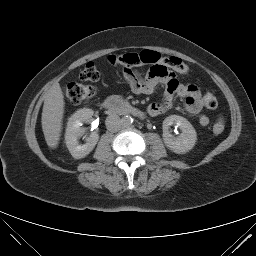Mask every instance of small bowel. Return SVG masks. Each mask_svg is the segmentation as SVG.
Returning a JSON list of instances; mask_svg holds the SVG:
<instances>
[{"label":"small bowel","instance_id":"obj_1","mask_svg":"<svg viewBox=\"0 0 256 256\" xmlns=\"http://www.w3.org/2000/svg\"><path fill=\"white\" fill-rule=\"evenodd\" d=\"M123 76L131 91L137 95L152 94L158 84L165 86L164 98L161 102L153 103L148 107V113L155 117L165 112L171 105L174 96L185 99L184 107L187 113L197 116L201 126H207L209 117L202 113L201 94L194 85L182 84L177 75L165 63L154 64L146 74L142 76L137 70L124 68Z\"/></svg>","mask_w":256,"mask_h":256}]
</instances>
